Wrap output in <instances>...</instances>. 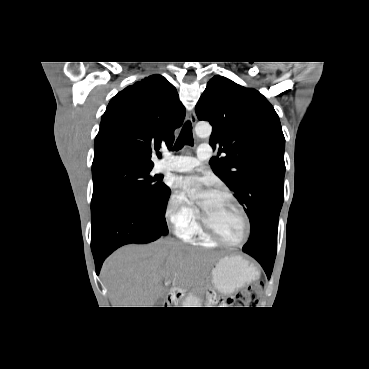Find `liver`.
Masks as SVG:
<instances>
[{
    "label": "liver",
    "mask_w": 369,
    "mask_h": 369,
    "mask_svg": "<svg viewBox=\"0 0 369 369\" xmlns=\"http://www.w3.org/2000/svg\"><path fill=\"white\" fill-rule=\"evenodd\" d=\"M216 256L171 239L148 245H127L103 264L104 279L113 307H154L165 296L163 280L186 289L200 282Z\"/></svg>",
    "instance_id": "liver-1"
}]
</instances>
